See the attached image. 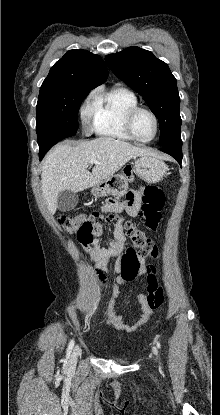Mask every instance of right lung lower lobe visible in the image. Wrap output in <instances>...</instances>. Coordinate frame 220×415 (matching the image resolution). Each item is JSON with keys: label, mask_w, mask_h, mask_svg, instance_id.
<instances>
[{"label": "right lung lower lobe", "mask_w": 220, "mask_h": 415, "mask_svg": "<svg viewBox=\"0 0 220 415\" xmlns=\"http://www.w3.org/2000/svg\"><path fill=\"white\" fill-rule=\"evenodd\" d=\"M49 149H50V148H41V149H40V152H39V159H40V160L44 157L45 153H46Z\"/></svg>", "instance_id": "1"}]
</instances>
